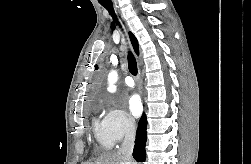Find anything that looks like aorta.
Returning a JSON list of instances; mask_svg holds the SVG:
<instances>
[{"instance_id": "obj_1", "label": "aorta", "mask_w": 251, "mask_h": 164, "mask_svg": "<svg viewBox=\"0 0 251 164\" xmlns=\"http://www.w3.org/2000/svg\"><path fill=\"white\" fill-rule=\"evenodd\" d=\"M118 79V74L115 70H112L109 75H108V82H109V87L108 90L110 92H114L116 90L115 83Z\"/></svg>"}]
</instances>
